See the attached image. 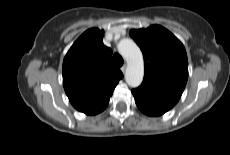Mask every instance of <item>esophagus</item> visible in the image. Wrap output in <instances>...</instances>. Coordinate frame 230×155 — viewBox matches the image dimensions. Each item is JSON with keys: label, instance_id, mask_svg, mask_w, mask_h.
Segmentation results:
<instances>
[{"label": "esophagus", "instance_id": "1", "mask_svg": "<svg viewBox=\"0 0 230 155\" xmlns=\"http://www.w3.org/2000/svg\"><path fill=\"white\" fill-rule=\"evenodd\" d=\"M121 71H122L123 73H125V71H126V64L123 65V66L121 67Z\"/></svg>", "mask_w": 230, "mask_h": 155}]
</instances>
